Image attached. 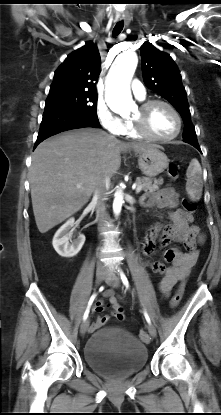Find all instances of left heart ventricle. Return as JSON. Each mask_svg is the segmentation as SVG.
<instances>
[{
  "label": "left heart ventricle",
  "instance_id": "obj_1",
  "mask_svg": "<svg viewBox=\"0 0 221 415\" xmlns=\"http://www.w3.org/2000/svg\"><path fill=\"white\" fill-rule=\"evenodd\" d=\"M140 116L139 108L133 118ZM147 129L154 135L167 137L172 135L177 128V122L172 112L165 106L154 105L146 114Z\"/></svg>",
  "mask_w": 221,
  "mask_h": 415
}]
</instances>
